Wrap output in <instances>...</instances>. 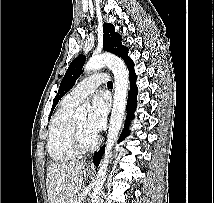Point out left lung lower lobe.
<instances>
[{"mask_svg": "<svg viewBox=\"0 0 214 203\" xmlns=\"http://www.w3.org/2000/svg\"><path fill=\"white\" fill-rule=\"evenodd\" d=\"M126 64H127L128 69H129L130 93H129V97H128V101H127L128 114H127L126 124H125V128L123 129V132L120 136L119 141H122L123 139H125L129 135V130L127 128V125L129 124L130 120H132L134 118L133 112L135 111L136 106H137V100H136V96H137L136 79H137V76H136L135 71H134V62L131 59H129ZM104 150H105V146H103L94 156L93 163L96 166L99 165V162L102 158Z\"/></svg>", "mask_w": 214, "mask_h": 203, "instance_id": "left-lung-lower-lobe-1", "label": "left lung lower lobe"}]
</instances>
